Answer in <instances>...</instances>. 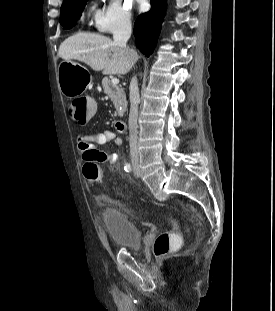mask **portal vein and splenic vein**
Instances as JSON below:
<instances>
[{
    "label": "portal vein and splenic vein",
    "mask_w": 275,
    "mask_h": 311,
    "mask_svg": "<svg viewBox=\"0 0 275 311\" xmlns=\"http://www.w3.org/2000/svg\"><path fill=\"white\" fill-rule=\"evenodd\" d=\"M111 82H112V84L117 85V84H119V79L113 78Z\"/></svg>",
    "instance_id": "obj_1"
}]
</instances>
